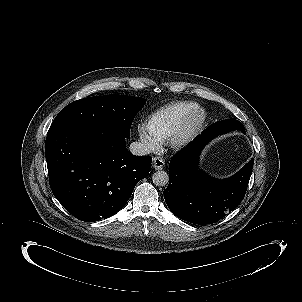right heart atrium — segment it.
<instances>
[{
    "label": "right heart atrium",
    "mask_w": 302,
    "mask_h": 302,
    "mask_svg": "<svg viewBox=\"0 0 302 302\" xmlns=\"http://www.w3.org/2000/svg\"><path fill=\"white\" fill-rule=\"evenodd\" d=\"M137 136L140 144L148 151H156L162 145L163 140L144 124L138 126Z\"/></svg>",
    "instance_id": "1"
}]
</instances>
